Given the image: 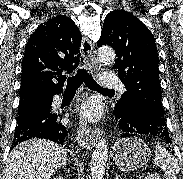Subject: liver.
I'll use <instances>...</instances> for the list:
<instances>
[{
  "instance_id": "obj_1",
  "label": "liver",
  "mask_w": 183,
  "mask_h": 179,
  "mask_svg": "<svg viewBox=\"0 0 183 179\" xmlns=\"http://www.w3.org/2000/svg\"><path fill=\"white\" fill-rule=\"evenodd\" d=\"M66 161V150L59 144L30 139L10 152L4 179H49Z\"/></svg>"
}]
</instances>
